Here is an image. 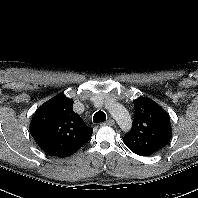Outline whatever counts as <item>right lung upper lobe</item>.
Segmentation results:
<instances>
[{
  "label": "right lung upper lobe",
  "instance_id": "obj_1",
  "mask_svg": "<svg viewBox=\"0 0 198 198\" xmlns=\"http://www.w3.org/2000/svg\"><path fill=\"white\" fill-rule=\"evenodd\" d=\"M30 132L44 152L64 158L77 152L91 138L93 129L73 111V100L59 94L36 110Z\"/></svg>",
  "mask_w": 198,
  "mask_h": 198
}]
</instances>
